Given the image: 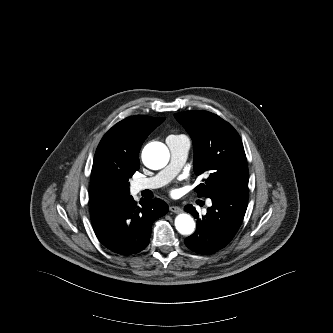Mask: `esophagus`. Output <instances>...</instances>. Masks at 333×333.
I'll return each mask as SVG.
<instances>
[{
  "label": "esophagus",
  "instance_id": "1",
  "mask_svg": "<svg viewBox=\"0 0 333 333\" xmlns=\"http://www.w3.org/2000/svg\"><path fill=\"white\" fill-rule=\"evenodd\" d=\"M170 211H171V212H174V213H181L183 210H182V208L179 207V206H171V207H170Z\"/></svg>",
  "mask_w": 333,
  "mask_h": 333
}]
</instances>
